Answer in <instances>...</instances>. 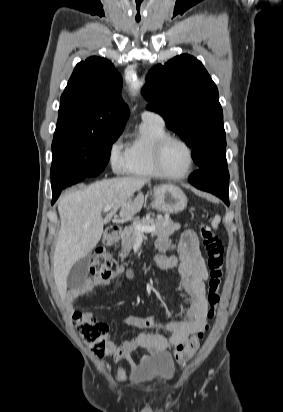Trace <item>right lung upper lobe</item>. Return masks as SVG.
Here are the masks:
<instances>
[{"instance_id": "cb5924a9", "label": "right lung upper lobe", "mask_w": 283, "mask_h": 412, "mask_svg": "<svg viewBox=\"0 0 283 412\" xmlns=\"http://www.w3.org/2000/svg\"><path fill=\"white\" fill-rule=\"evenodd\" d=\"M122 78L104 58L76 65L61 96L58 119H77L93 131H123L129 110L120 93Z\"/></svg>"}]
</instances>
